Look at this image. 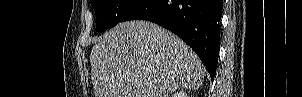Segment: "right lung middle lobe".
Here are the masks:
<instances>
[{"mask_svg": "<svg viewBox=\"0 0 302 97\" xmlns=\"http://www.w3.org/2000/svg\"><path fill=\"white\" fill-rule=\"evenodd\" d=\"M141 0H90L95 10L96 29L102 32L122 22L124 16Z\"/></svg>", "mask_w": 302, "mask_h": 97, "instance_id": "1", "label": "right lung middle lobe"}]
</instances>
